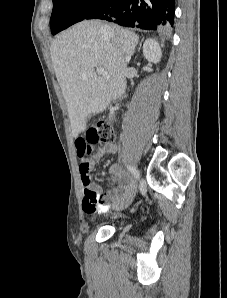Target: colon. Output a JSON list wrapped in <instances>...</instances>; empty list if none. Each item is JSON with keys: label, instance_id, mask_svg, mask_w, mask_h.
Returning <instances> with one entry per match:
<instances>
[{"label": "colon", "instance_id": "colon-1", "mask_svg": "<svg viewBox=\"0 0 227 298\" xmlns=\"http://www.w3.org/2000/svg\"><path fill=\"white\" fill-rule=\"evenodd\" d=\"M84 139L86 142H90L91 146L100 143L109 144L113 143L115 133L110 124L106 122H98L87 130L86 137ZM87 181L88 179L86 178L85 182Z\"/></svg>", "mask_w": 227, "mask_h": 298}]
</instances>
